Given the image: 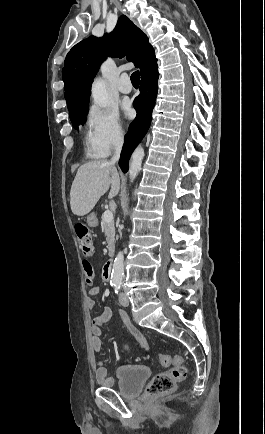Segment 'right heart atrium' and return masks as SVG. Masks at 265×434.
<instances>
[{
    "instance_id": "obj_1",
    "label": "right heart atrium",
    "mask_w": 265,
    "mask_h": 434,
    "mask_svg": "<svg viewBox=\"0 0 265 434\" xmlns=\"http://www.w3.org/2000/svg\"><path fill=\"white\" fill-rule=\"evenodd\" d=\"M85 121L84 138L86 153L92 159H113L119 148L127 147L124 121L119 116V103L110 101L108 106H89Z\"/></svg>"
}]
</instances>
